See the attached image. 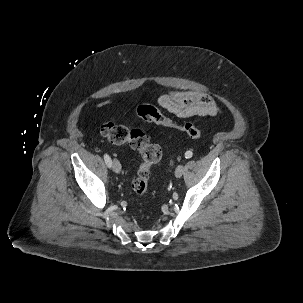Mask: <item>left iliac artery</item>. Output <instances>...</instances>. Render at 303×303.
I'll return each instance as SVG.
<instances>
[{
  "mask_svg": "<svg viewBox=\"0 0 303 303\" xmlns=\"http://www.w3.org/2000/svg\"><path fill=\"white\" fill-rule=\"evenodd\" d=\"M192 155H193V153H192L191 151H187V152L185 153V158L189 159V158L192 157Z\"/></svg>",
  "mask_w": 303,
  "mask_h": 303,
  "instance_id": "44dca946",
  "label": "left iliac artery"
}]
</instances>
